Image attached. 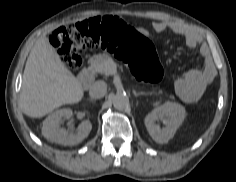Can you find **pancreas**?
I'll return each mask as SVG.
<instances>
[{
  "label": "pancreas",
  "mask_w": 236,
  "mask_h": 182,
  "mask_svg": "<svg viewBox=\"0 0 236 182\" xmlns=\"http://www.w3.org/2000/svg\"><path fill=\"white\" fill-rule=\"evenodd\" d=\"M91 69L93 72L104 74L106 76L113 75L117 65L113 59L107 54L93 55L91 60Z\"/></svg>",
  "instance_id": "cf45deb5"
}]
</instances>
